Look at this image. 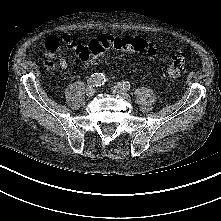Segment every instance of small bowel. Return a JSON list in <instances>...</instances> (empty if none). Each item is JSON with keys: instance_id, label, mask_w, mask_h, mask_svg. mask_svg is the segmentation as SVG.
Returning <instances> with one entry per match:
<instances>
[{"instance_id": "1", "label": "small bowel", "mask_w": 221, "mask_h": 221, "mask_svg": "<svg viewBox=\"0 0 221 221\" xmlns=\"http://www.w3.org/2000/svg\"><path fill=\"white\" fill-rule=\"evenodd\" d=\"M62 41L69 49L73 50L79 57L81 50L86 47L83 44L75 42L69 36H63ZM147 43L148 47L146 50V54L149 59H154L157 54L156 47L151 42ZM59 44H60V39L55 36H49L44 41L45 51L43 54L46 58L44 66L48 70L54 69L56 65H58L61 69H66L68 67L67 60L64 57L55 54V51L58 50L59 48Z\"/></svg>"}]
</instances>
